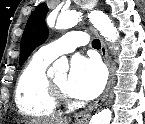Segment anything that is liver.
Returning <instances> with one entry per match:
<instances>
[{"label": "liver", "instance_id": "6515ba94", "mask_svg": "<svg viewBox=\"0 0 145 124\" xmlns=\"http://www.w3.org/2000/svg\"><path fill=\"white\" fill-rule=\"evenodd\" d=\"M67 118H45V119H33L26 121V124H69Z\"/></svg>", "mask_w": 145, "mask_h": 124}]
</instances>
